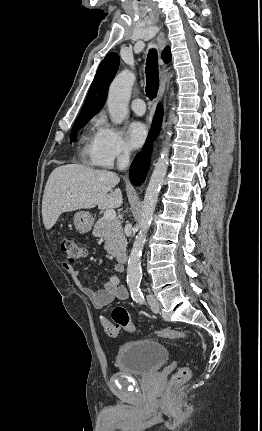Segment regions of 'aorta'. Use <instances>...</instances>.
Returning a JSON list of instances; mask_svg holds the SVG:
<instances>
[{"label": "aorta", "mask_w": 262, "mask_h": 431, "mask_svg": "<svg viewBox=\"0 0 262 431\" xmlns=\"http://www.w3.org/2000/svg\"><path fill=\"white\" fill-rule=\"evenodd\" d=\"M135 81V75L125 69L115 77L109 87L107 107L110 114L111 121L115 124H121L128 115V103L131 96L132 86ZM173 110L175 107L172 108ZM173 116V115H172ZM172 123L168 122L170 126ZM170 135V131L167 132ZM168 139L166 140L167 144ZM169 148L166 145L158 158L149 184L146 188L143 204L141 219L138 224L139 232L135 237L133 247L130 252L127 266V282L131 286H137L142 278L141 271V256L144 244L146 242V235L150 228L153 214L158 201L160 189L163 180L167 173L168 168Z\"/></svg>", "instance_id": "1"}]
</instances>
